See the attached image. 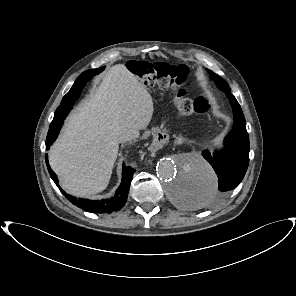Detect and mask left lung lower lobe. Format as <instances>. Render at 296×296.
Returning <instances> with one entry per match:
<instances>
[{
    "label": "left lung lower lobe",
    "mask_w": 296,
    "mask_h": 296,
    "mask_svg": "<svg viewBox=\"0 0 296 296\" xmlns=\"http://www.w3.org/2000/svg\"><path fill=\"white\" fill-rule=\"evenodd\" d=\"M234 111V126L225 137V149L210 154L202 152L218 176V187L213 193L201 194L195 190L188 177H184L176 192L182 197L184 206H205L224 197L236 188L245 176L249 164V137L241 107L236 98L229 97ZM183 189V190H182Z\"/></svg>",
    "instance_id": "obj_1"
}]
</instances>
